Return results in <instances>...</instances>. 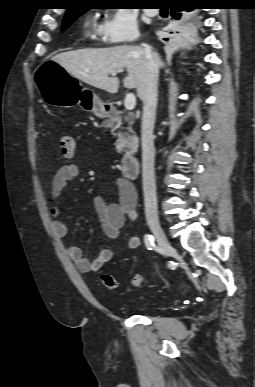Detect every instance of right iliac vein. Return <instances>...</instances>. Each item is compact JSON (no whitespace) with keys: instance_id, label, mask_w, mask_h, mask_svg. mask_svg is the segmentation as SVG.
<instances>
[{"instance_id":"63e3f726","label":"right iliac vein","mask_w":255,"mask_h":387,"mask_svg":"<svg viewBox=\"0 0 255 387\" xmlns=\"http://www.w3.org/2000/svg\"><path fill=\"white\" fill-rule=\"evenodd\" d=\"M149 227L151 231L153 232L159 249L164 257H168L170 253L172 252V246L170 245L169 241L167 240V237L161 228L160 224L157 222H151L149 224Z\"/></svg>"}]
</instances>
